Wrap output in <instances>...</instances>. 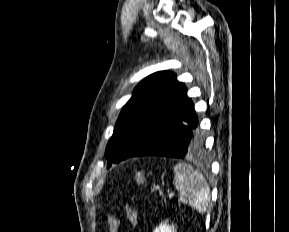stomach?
I'll return each instance as SVG.
<instances>
[{"instance_id":"stomach-1","label":"stomach","mask_w":289,"mask_h":232,"mask_svg":"<svg viewBox=\"0 0 289 232\" xmlns=\"http://www.w3.org/2000/svg\"><path fill=\"white\" fill-rule=\"evenodd\" d=\"M135 179L138 184L144 183L145 181V176L143 172H136Z\"/></svg>"}]
</instances>
